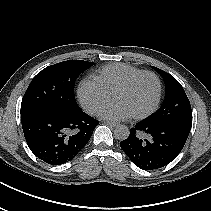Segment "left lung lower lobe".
I'll list each match as a JSON object with an SVG mask.
<instances>
[{
  "mask_svg": "<svg viewBox=\"0 0 211 211\" xmlns=\"http://www.w3.org/2000/svg\"><path fill=\"white\" fill-rule=\"evenodd\" d=\"M189 132L176 126L140 121L131 128L120 146L130 160L143 170L164 167L181 152Z\"/></svg>",
  "mask_w": 211,
  "mask_h": 211,
  "instance_id": "obj_1",
  "label": "left lung lower lobe"
}]
</instances>
